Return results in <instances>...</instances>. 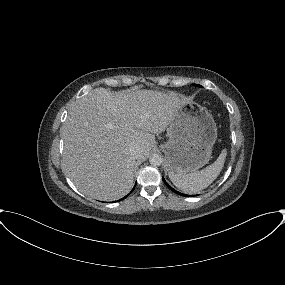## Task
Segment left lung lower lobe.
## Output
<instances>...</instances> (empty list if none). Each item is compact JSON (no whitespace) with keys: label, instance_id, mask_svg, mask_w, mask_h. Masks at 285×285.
<instances>
[{"label":"left lung lower lobe","instance_id":"obj_1","mask_svg":"<svg viewBox=\"0 0 285 285\" xmlns=\"http://www.w3.org/2000/svg\"><path fill=\"white\" fill-rule=\"evenodd\" d=\"M162 179H163V182L166 184V186H167L168 188H170L173 192H175V193H177V194H179V195H181V196H189V195H185V194L179 193L178 191H176L175 189H173L172 187H170V186L166 183V181H165L164 178H162Z\"/></svg>","mask_w":285,"mask_h":285}]
</instances>
